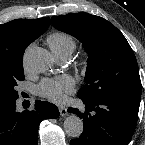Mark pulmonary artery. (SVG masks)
Instances as JSON below:
<instances>
[{"label":"pulmonary artery","instance_id":"e3ab8cb5","mask_svg":"<svg viewBox=\"0 0 145 145\" xmlns=\"http://www.w3.org/2000/svg\"><path fill=\"white\" fill-rule=\"evenodd\" d=\"M56 58L58 59L59 62L66 63L69 60L70 55L69 54H60V55H57Z\"/></svg>","mask_w":145,"mask_h":145}]
</instances>
